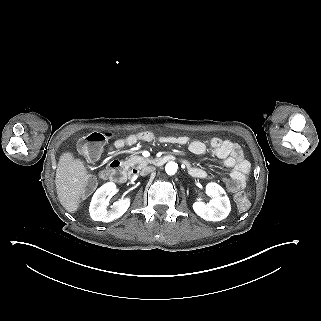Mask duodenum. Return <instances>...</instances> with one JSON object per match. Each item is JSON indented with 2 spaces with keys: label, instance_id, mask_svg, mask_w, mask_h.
<instances>
[{
  "label": "duodenum",
  "instance_id": "1",
  "mask_svg": "<svg viewBox=\"0 0 321 321\" xmlns=\"http://www.w3.org/2000/svg\"><path fill=\"white\" fill-rule=\"evenodd\" d=\"M174 157L172 155H164L157 159L156 164L158 166L164 165L165 163L172 161ZM108 176L112 181L123 183L127 179V171L124 167V165L118 161L115 160L110 163L108 169H107Z\"/></svg>",
  "mask_w": 321,
  "mask_h": 321
}]
</instances>
